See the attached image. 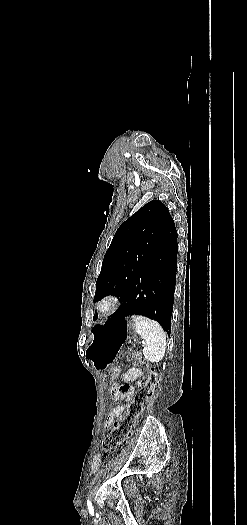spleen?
Returning <instances> with one entry per match:
<instances>
[{"label": "spleen", "mask_w": 247, "mask_h": 525, "mask_svg": "<svg viewBox=\"0 0 247 525\" xmlns=\"http://www.w3.org/2000/svg\"><path fill=\"white\" fill-rule=\"evenodd\" d=\"M135 323L136 333L145 340L143 355L150 363L162 361L166 351V335L156 321L147 317H131Z\"/></svg>", "instance_id": "3e777b00"}]
</instances>
